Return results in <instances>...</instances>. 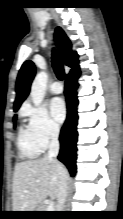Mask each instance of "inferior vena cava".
Instances as JSON below:
<instances>
[{
  "label": "inferior vena cava",
  "instance_id": "obj_1",
  "mask_svg": "<svg viewBox=\"0 0 123 219\" xmlns=\"http://www.w3.org/2000/svg\"><path fill=\"white\" fill-rule=\"evenodd\" d=\"M59 128L53 127L51 130V142L49 145L48 154L46 155L48 159L54 160L57 163L59 174H60V183L58 189V211H62V208L65 204L67 193H68V183L67 176L63 166L57 161L56 157L59 153Z\"/></svg>",
  "mask_w": 123,
  "mask_h": 219
}]
</instances>
